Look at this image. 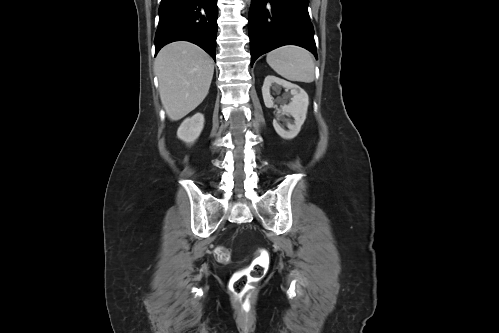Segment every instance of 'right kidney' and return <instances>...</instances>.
Wrapping results in <instances>:
<instances>
[{
    "instance_id": "1",
    "label": "right kidney",
    "mask_w": 499,
    "mask_h": 333,
    "mask_svg": "<svg viewBox=\"0 0 499 333\" xmlns=\"http://www.w3.org/2000/svg\"><path fill=\"white\" fill-rule=\"evenodd\" d=\"M204 127V115L196 113L185 119L177 131V137L187 144H192L198 139Z\"/></svg>"
}]
</instances>
